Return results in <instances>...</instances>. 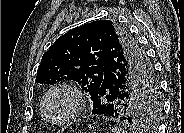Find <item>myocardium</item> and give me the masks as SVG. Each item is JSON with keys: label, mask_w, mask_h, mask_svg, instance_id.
<instances>
[{"label": "myocardium", "mask_w": 184, "mask_h": 133, "mask_svg": "<svg viewBox=\"0 0 184 133\" xmlns=\"http://www.w3.org/2000/svg\"><path fill=\"white\" fill-rule=\"evenodd\" d=\"M57 92H63L67 94L72 102V107L70 111L60 118H51L46 110V104L48 99ZM40 109L43 117L52 124H64L68 123L74 119H76L83 111L84 109V98L82 93L78 88H76L73 85L70 84H58L53 87H51L43 96V99L40 104Z\"/></svg>", "instance_id": "myocardium-1"}]
</instances>
